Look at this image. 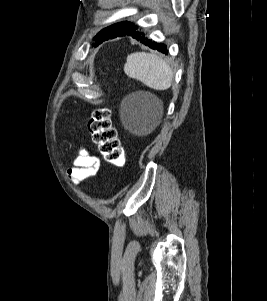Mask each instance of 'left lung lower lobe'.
<instances>
[{
  "instance_id": "obj_1",
  "label": "left lung lower lobe",
  "mask_w": 267,
  "mask_h": 301,
  "mask_svg": "<svg viewBox=\"0 0 267 301\" xmlns=\"http://www.w3.org/2000/svg\"><path fill=\"white\" fill-rule=\"evenodd\" d=\"M131 36L132 38L140 41L141 43H144L145 45L149 46L152 49H157L158 51L168 54L167 48L164 44H158L156 42H152V40H148L147 37H145L144 33L138 30V27L136 26L132 30H130L127 33L117 34V35H111L109 38H106L104 41L116 38V37H122V36Z\"/></svg>"
}]
</instances>
